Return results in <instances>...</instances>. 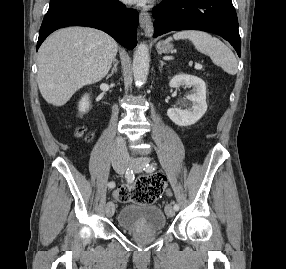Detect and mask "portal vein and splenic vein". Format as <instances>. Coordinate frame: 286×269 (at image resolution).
Instances as JSON below:
<instances>
[{"mask_svg": "<svg viewBox=\"0 0 286 269\" xmlns=\"http://www.w3.org/2000/svg\"><path fill=\"white\" fill-rule=\"evenodd\" d=\"M201 68H202V65L200 63L195 64V69H201Z\"/></svg>", "mask_w": 286, "mask_h": 269, "instance_id": "portal-vein-and-splenic-vein-1", "label": "portal vein and splenic vein"}]
</instances>
